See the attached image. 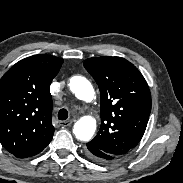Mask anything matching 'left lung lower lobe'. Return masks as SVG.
Here are the masks:
<instances>
[{
  "label": "left lung lower lobe",
  "instance_id": "1",
  "mask_svg": "<svg viewBox=\"0 0 183 183\" xmlns=\"http://www.w3.org/2000/svg\"><path fill=\"white\" fill-rule=\"evenodd\" d=\"M86 152L89 155V157H91L92 159H94L95 161H98V162H108V161H111V160L117 158V157L107 154L101 150H98V149L90 146L89 144H87Z\"/></svg>",
  "mask_w": 183,
  "mask_h": 183
}]
</instances>
